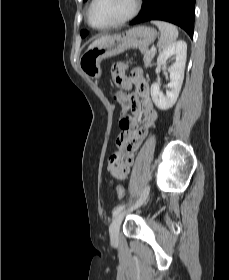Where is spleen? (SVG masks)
Listing matches in <instances>:
<instances>
[{"mask_svg": "<svg viewBox=\"0 0 229 280\" xmlns=\"http://www.w3.org/2000/svg\"><path fill=\"white\" fill-rule=\"evenodd\" d=\"M151 23L156 25L161 33L157 44L159 49L164 50L175 42L178 37V30L174 25L164 21H152Z\"/></svg>", "mask_w": 229, "mask_h": 280, "instance_id": "obj_1", "label": "spleen"}]
</instances>
